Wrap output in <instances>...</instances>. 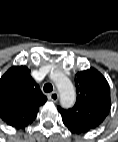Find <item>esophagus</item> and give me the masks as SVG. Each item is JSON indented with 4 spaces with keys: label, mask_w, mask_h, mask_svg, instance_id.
<instances>
[{
    "label": "esophagus",
    "mask_w": 118,
    "mask_h": 142,
    "mask_svg": "<svg viewBox=\"0 0 118 142\" xmlns=\"http://www.w3.org/2000/svg\"><path fill=\"white\" fill-rule=\"evenodd\" d=\"M49 100L53 101V102H57L59 99V94L58 92H52L48 95Z\"/></svg>",
    "instance_id": "obj_1"
}]
</instances>
